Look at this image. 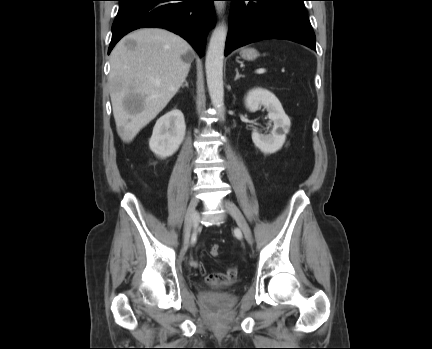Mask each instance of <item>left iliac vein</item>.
<instances>
[{"label":"left iliac vein","instance_id":"obj_1","mask_svg":"<svg viewBox=\"0 0 432 349\" xmlns=\"http://www.w3.org/2000/svg\"><path fill=\"white\" fill-rule=\"evenodd\" d=\"M223 205L227 209V211L230 213V215L235 219L237 225L239 226V228L243 232L246 240L251 243L252 242L251 229H250L246 219L244 218L243 214L241 213V211L238 209V207L233 202H231L229 200L223 201Z\"/></svg>","mask_w":432,"mask_h":349}]
</instances>
